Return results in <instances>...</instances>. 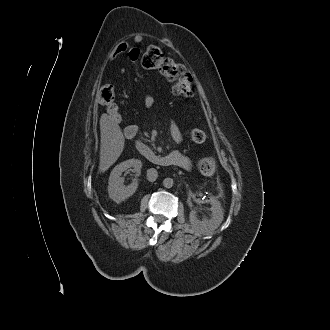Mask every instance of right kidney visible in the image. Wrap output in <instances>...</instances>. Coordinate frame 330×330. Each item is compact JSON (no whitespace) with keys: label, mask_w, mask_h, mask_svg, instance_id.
Masks as SVG:
<instances>
[{"label":"right kidney","mask_w":330,"mask_h":330,"mask_svg":"<svg viewBox=\"0 0 330 330\" xmlns=\"http://www.w3.org/2000/svg\"><path fill=\"white\" fill-rule=\"evenodd\" d=\"M131 167L134 172L140 173L142 162L138 159L126 160L116 165L110 174L108 180V194L109 197L116 203H120L128 199L136 192L138 188L137 179H134L131 184L125 186L124 177H121L122 173Z\"/></svg>","instance_id":"obj_1"}]
</instances>
